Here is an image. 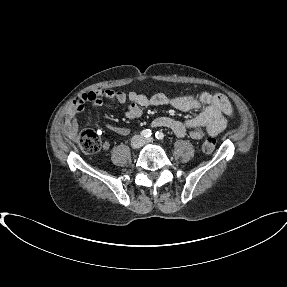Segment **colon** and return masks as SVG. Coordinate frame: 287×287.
Masks as SVG:
<instances>
[{"label": "colon", "instance_id": "obj_1", "mask_svg": "<svg viewBox=\"0 0 287 287\" xmlns=\"http://www.w3.org/2000/svg\"><path fill=\"white\" fill-rule=\"evenodd\" d=\"M76 141L81 149L87 153H95L101 148V141L99 136L91 130L81 132ZM216 146V140L214 138H208L203 143L202 149L205 153H211Z\"/></svg>", "mask_w": 287, "mask_h": 287}]
</instances>
